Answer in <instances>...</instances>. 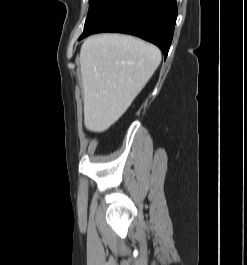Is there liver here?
<instances>
[{"instance_id":"6515ba94","label":"liver","mask_w":247,"mask_h":265,"mask_svg":"<svg viewBox=\"0 0 247 265\" xmlns=\"http://www.w3.org/2000/svg\"><path fill=\"white\" fill-rule=\"evenodd\" d=\"M161 62L153 44L121 34L91 36L80 50L84 125L103 132L130 107Z\"/></svg>"}]
</instances>
